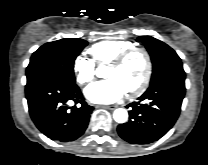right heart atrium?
<instances>
[{"label": "right heart atrium", "mask_w": 208, "mask_h": 165, "mask_svg": "<svg viewBox=\"0 0 208 165\" xmlns=\"http://www.w3.org/2000/svg\"><path fill=\"white\" fill-rule=\"evenodd\" d=\"M73 71L79 84H88L95 77V64L91 59L79 55L74 59Z\"/></svg>", "instance_id": "right-heart-atrium-1"}]
</instances>
